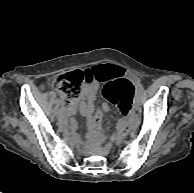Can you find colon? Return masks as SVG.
I'll use <instances>...</instances> for the list:
<instances>
[{
    "label": "colon",
    "mask_w": 194,
    "mask_h": 193,
    "mask_svg": "<svg viewBox=\"0 0 194 193\" xmlns=\"http://www.w3.org/2000/svg\"><path fill=\"white\" fill-rule=\"evenodd\" d=\"M85 74L80 70L70 71L52 80V83L60 90L65 102H72L80 97L83 82L85 81ZM117 88L125 90L133 89L132 83L126 78H118L115 81L108 83L103 90L107 98L112 99L113 93ZM129 125L122 124L119 126L116 133L115 143L119 145L124 139Z\"/></svg>",
    "instance_id": "obj_1"
}]
</instances>
